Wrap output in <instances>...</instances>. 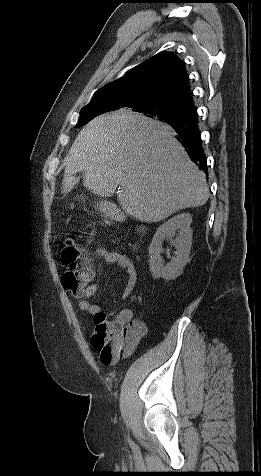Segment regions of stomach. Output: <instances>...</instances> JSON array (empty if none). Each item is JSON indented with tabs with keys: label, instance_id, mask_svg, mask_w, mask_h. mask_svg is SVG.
Instances as JSON below:
<instances>
[{
	"label": "stomach",
	"instance_id": "obj_1",
	"mask_svg": "<svg viewBox=\"0 0 261 476\" xmlns=\"http://www.w3.org/2000/svg\"><path fill=\"white\" fill-rule=\"evenodd\" d=\"M81 200H83V197L81 198ZM99 208H100L102 211H106V203L101 202L100 205H99Z\"/></svg>",
	"mask_w": 261,
	"mask_h": 476
}]
</instances>
